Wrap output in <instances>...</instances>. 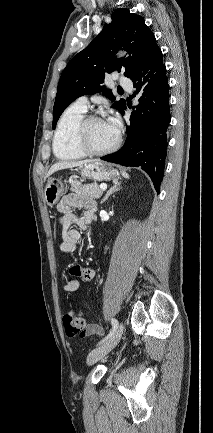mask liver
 <instances>
[{"label":"liver","mask_w":213,"mask_h":433,"mask_svg":"<svg viewBox=\"0 0 213 433\" xmlns=\"http://www.w3.org/2000/svg\"><path fill=\"white\" fill-rule=\"evenodd\" d=\"M93 161H95V160H83V161H77V162H72V161L71 162H65L64 161V162L56 163L48 171L47 177L51 176L53 173H55L58 170L82 166L84 164L91 163Z\"/></svg>","instance_id":"obj_1"}]
</instances>
